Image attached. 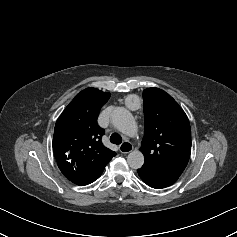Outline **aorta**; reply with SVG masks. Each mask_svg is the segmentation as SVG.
<instances>
[{
	"label": "aorta",
	"instance_id": "762f6f07",
	"mask_svg": "<svg viewBox=\"0 0 237 237\" xmlns=\"http://www.w3.org/2000/svg\"><path fill=\"white\" fill-rule=\"evenodd\" d=\"M112 124L123 134L134 137L137 134V125L132 114L123 107L114 109L111 117ZM128 165L139 169L144 164V155L139 150L131 151L127 156Z\"/></svg>",
	"mask_w": 237,
	"mask_h": 237
}]
</instances>
